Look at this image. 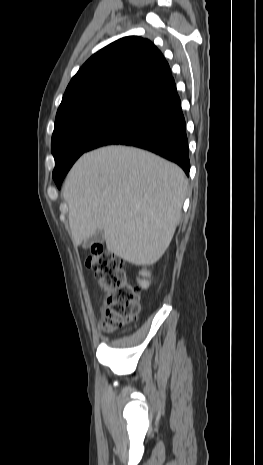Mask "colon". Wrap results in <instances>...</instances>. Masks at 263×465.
Segmentation results:
<instances>
[{"instance_id": "colon-1", "label": "colon", "mask_w": 263, "mask_h": 465, "mask_svg": "<svg viewBox=\"0 0 263 465\" xmlns=\"http://www.w3.org/2000/svg\"><path fill=\"white\" fill-rule=\"evenodd\" d=\"M86 264L105 293L104 330L113 331L135 322L140 310L139 297L128 282L123 262L106 251L102 244H95Z\"/></svg>"}]
</instances>
